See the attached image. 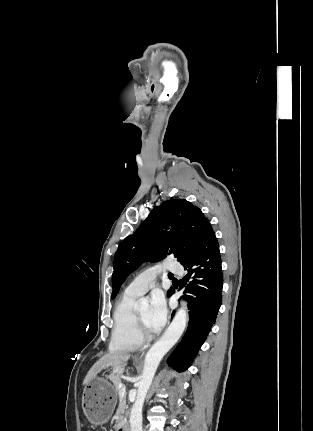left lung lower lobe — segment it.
<instances>
[{
  "label": "left lung lower lobe",
  "instance_id": "left-lung-lower-lobe-1",
  "mask_svg": "<svg viewBox=\"0 0 313 431\" xmlns=\"http://www.w3.org/2000/svg\"><path fill=\"white\" fill-rule=\"evenodd\" d=\"M187 275L184 293L188 302L189 324L181 342L168 359L170 366L182 372L190 365L204 343L221 306L223 275L219 245L209 225L192 256L182 263ZM182 285V287L184 286ZM174 293L172 289L168 297ZM174 312L172 313V316Z\"/></svg>",
  "mask_w": 313,
  "mask_h": 431
}]
</instances>
